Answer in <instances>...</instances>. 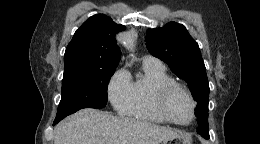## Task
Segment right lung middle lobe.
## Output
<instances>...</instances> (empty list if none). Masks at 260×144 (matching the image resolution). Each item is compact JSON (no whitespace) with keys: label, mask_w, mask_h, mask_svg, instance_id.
Segmentation results:
<instances>
[{"label":"right lung middle lobe","mask_w":260,"mask_h":144,"mask_svg":"<svg viewBox=\"0 0 260 144\" xmlns=\"http://www.w3.org/2000/svg\"><path fill=\"white\" fill-rule=\"evenodd\" d=\"M116 69L64 73L56 122L83 108L107 104V86Z\"/></svg>","instance_id":"right-lung-middle-lobe-1"}]
</instances>
